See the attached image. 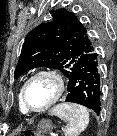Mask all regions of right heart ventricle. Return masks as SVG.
<instances>
[{
  "instance_id": "1",
  "label": "right heart ventricle",
  "mask_w": 117,
  "mask_h": 136,
  "mask_svg": "<svg viewBox=\"0 0 117 136\" xmlns=\"http://www.w3.org/2000/svg\"><path fill=\"white\" fill-rule=\"evenodd\" d=\"M18 108H19V110H20L21 113H23V114L28 113L25 110V108L23 107L22 102H21V90H20V92L18 94Z\"/></svg>"
}]
</instances>
